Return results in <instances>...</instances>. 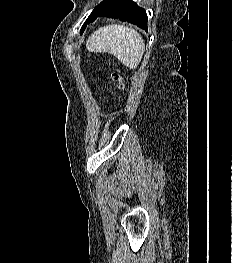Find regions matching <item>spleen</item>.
I'll return each mask as SVG.
<instances>
[{
	"label": "spleen",
	"mask_w": 233,
	"mask_h": 263,
	"mask_svg": "<svg viewBox=\"0 0 233 263\" xmlns=\"http://www.w3.org/2000/svg\"><path fill=\"white\" fill-rule=\"evenodd\" d=\"M91 52L110 53L129 69L138 67L145 51L141 35L133 28L120 24L104 26L87 40Z\"/></svg>",
	"instance_id": "spleen-1"
}]
</instances>
